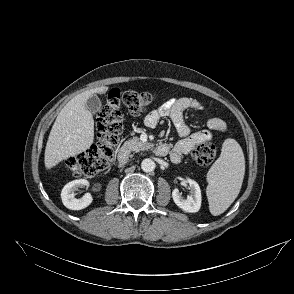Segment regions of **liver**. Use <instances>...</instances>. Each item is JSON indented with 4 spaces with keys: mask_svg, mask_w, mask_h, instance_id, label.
I'll use <instances>...</instances> for the list:
<instances>
[{
    "mask_svg": "<svg viewBox=\"0 0 294 294\" xmlns=\"http://www.w3.org/2000/svg\"><path fill=\"white\" fill-rule=\"evenodd\" d=\"M107 91V86L87 90L72 98L60 111L45 148L46 169L89 149L94 140V119L86 108V101L95 93Z\"/></svg>",
    "mask_w": 294,
    "mask_h": 294,
    "instance_id": "liver-1",
    "label": "liver"
}]
</instances>
